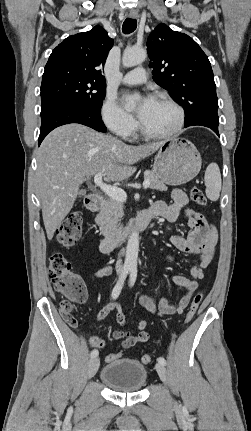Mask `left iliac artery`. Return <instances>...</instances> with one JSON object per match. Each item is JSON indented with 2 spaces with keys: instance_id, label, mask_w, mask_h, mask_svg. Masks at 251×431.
Listing matches in <instances>:
<instances>
[{
  "instance_id": "1",
  "label": "left iliac artery",
  "mask_w": 251,
  "mask_h": 431,
  "mask_svg": "<svg viewBox=\"0 0 251 431\" xmlns=\"http://www.w3.org/2000/svg\"><path fill=\"white\" fill-rule=\"evenodd\" d=\"M136 277H137V268L135 266H132L130 268V279H129L130 287H132L134 285V283L136 281ZM157 360L162 365H166V360L164 359V357H159Z\"/></svg>"
}]
</instances>
